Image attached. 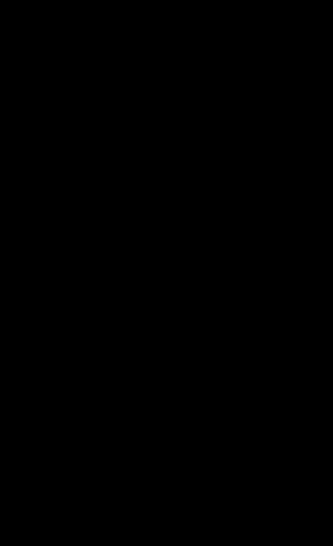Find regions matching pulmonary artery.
I'll use <instances>...</instances> for the list:
<instances>
[{
  "label": "pulmonary artery",
  "mask_w": 333,
  "mask_h": 546,
  "mask_svg": "<svg viewBox=\"0 0 333 546\" xmlns=\"http://www.w3.org/2000/svg\"><path fill=\"white\" fill-rule=\"evenodd\" d=\"M78 14H88V13H86V12H80V13H78Z\"/></svg>",
  "instance_id": "obj_1"
}]
</instances>
